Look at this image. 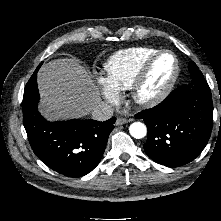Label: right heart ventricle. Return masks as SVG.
Returning a JSON list of instances; mask_svg holds the SVG:
<instances>
[{
    "label": "right heart ventricle",
    "mask_w": 221,
    "mask_h": 221,
    "mask_svg": "<svg viewBox=\"0 0 221 221\" xmlns=\"http://www.w3.org/2000/svg\"><path fill=\"white\" fill-rule=\"evenodd\" d=\"M157 51L151 47H132L115 52L104 64L106 78L118 91L130 89L145 61Z\"/></svg>",
    "instance_id": "1"
}]
</instances>
